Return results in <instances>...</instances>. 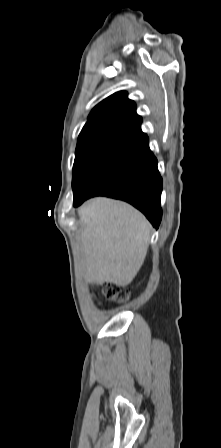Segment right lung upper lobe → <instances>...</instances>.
<instances>
[{"instance_id":"1","label":"right lung upper lobe","mask_w":221,"mask_h":448,"mask_svg":"<svg viewBox=\"0 0 221 448\" xmlns=\"http://www.w3.org/2000/svg\"><path fill=\"white\" fill-rule=\"evenodd\" d=\"M141 122L136 104L127 98L125 91L117 92L92 110L76 149L94 145L116 147L140 132Z\"/></svg>"}]
</instances>
